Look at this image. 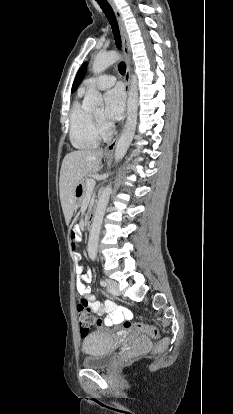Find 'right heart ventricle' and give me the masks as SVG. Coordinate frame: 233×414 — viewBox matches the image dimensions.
I'll use <instances>...</instances> for the list:
<instances>
[{
  "mask_svg": "<svg viewBox=\"0 0 233 414\" xmlns=\"http://www.w3.org/2000/svg\"><path fill=\"white\" fill-rule=\"evenodd\" d=\"M85 90L80 89L69 114V137L77 149L96 148L101 141V133L93 124L92 114L82 103Z\"/></svg>",
  "mask_w": 233,
  "mask_h": 414,
  "instance_id": "e07e8e85",
  "label": "right heart ventricle"
}]
</instances>
